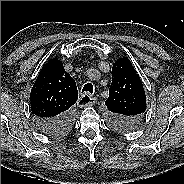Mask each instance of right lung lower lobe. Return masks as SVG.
Wrapping results in <instances>:
<instances>
[{
  "mask_svg": "<svg viewBox=\"0 0 184 184\" xmlns=\"http://www.w3.org/2000/svg\"><path fill=\"white\" fill-rule=\"evenodd\" d=\"M73 119L71 111L59 117L51 119H36L38 128L45 134L53 135L64 130L68 125H72Z\"/></svg>",
  "mask_w": 184,
  "mask_h": 184,
  "instance_id": "obj_1",
  "label": "right lung lower lobe"
}]
</instances>
